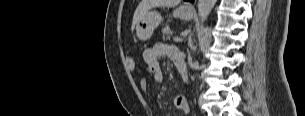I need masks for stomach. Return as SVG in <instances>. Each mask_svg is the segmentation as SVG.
<instances>
[{
	"label": "stomach",
	"instance_id": "1",
	"mask_svg": "<svg viewBox=\"0 0 305 116\" xmlns=\"http://www.w3.org/2000/svg\"><path fill=\"white\" fill-rule=\"evenodd\" d=\"M173 15L183 20H190L194 16V10L187 5H181L176 10H174ZM161 22L162 16L159 12H146L136 26V35L138 39L141 41L150 39L153 31L161 24Z\"/></svg>",
	"mask_w": 305,
	"mask_h": 116
}]
</instances>
